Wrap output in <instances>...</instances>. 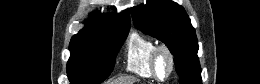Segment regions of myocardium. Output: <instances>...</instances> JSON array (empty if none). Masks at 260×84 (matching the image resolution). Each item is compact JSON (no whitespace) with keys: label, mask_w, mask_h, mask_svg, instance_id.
<instances>
[{"label":"myocardium","mask_w":260,"mask_h":84,"mask_svg":"<svg viewBox=\"0 0 260 84\" xmlns=\"http://www.w3.org/2000/svg\"><path fill=\"white\" fill-rule=\"evenodd\" d=\"M165 56L168 60V71L161 77L158 74V62L160 57ZM175 69V59L172 51L166 45H158L153 51L151 57V71L153 77L158 81H165L171 77Z\"/></svg>","instance_id":"obj_1"}]
</instances>
